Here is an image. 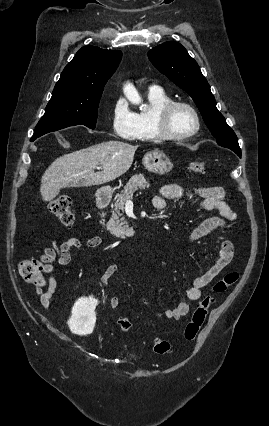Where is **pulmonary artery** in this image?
<instances>
[{
  "mask_svg": "<svg viewBox=\"0 0 269 426\" xmlns=\"http://www.w3.org/2000/svg\"><path fill=\"white\" fill-rule=\"evenodd\" d=\"M149 89H150V90H153V91H160V90H161V88H160L158 85H151V86L149 87Z\"/></svg>",
  "mask_w": 269,
  "mask_h": 426,
  "instance_id": "e3ab8cb5",
  "label": "pulmonary artery"
}]
</instances>
